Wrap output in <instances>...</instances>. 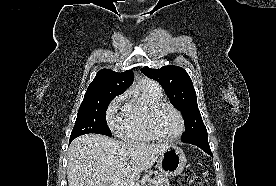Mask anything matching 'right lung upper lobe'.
Returning a JSON list of instances; mask_svg holds the SVG:
<instances>
[{
  "label": "right lung upper lobe",
  "mask_w": 276,
  "mask_h": 186,
  "mask_svg": "<svg viewBox=\"0 0 276 186\" xmlns=\"http://www.w3.org/2000/svg\"><path fill=\"white\" fill-rule=\"evenodd\" d=\"M134 80L132 71L122 73L110 69H102L97 74L86 92L109 91L123 93Z\"/></svg>",
  "instance_id": "1"
}]
</instances>
